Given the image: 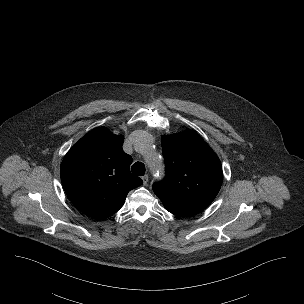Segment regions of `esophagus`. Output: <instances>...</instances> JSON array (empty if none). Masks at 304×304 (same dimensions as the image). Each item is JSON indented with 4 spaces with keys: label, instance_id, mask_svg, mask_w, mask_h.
I'll list each match as a JSON object with an SVG mask.
<instances>
[{
    "label": "esophagus",
    "instance_id": "34e87169",
    "mask_svg": "<svg viewBox=\"0 0 304 304\" xmlns=\"http://www.w3.org/2000/svg\"><path fill=\"white\" fill-rule=\"evenodd\" d=\"M148 180H149V176L146 174L142 177V181H143V185H147L148 183Z\"/></svg>",
    "mask_w": 304,
    "mask_h": 304
}]
</instances>
